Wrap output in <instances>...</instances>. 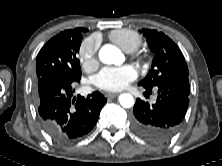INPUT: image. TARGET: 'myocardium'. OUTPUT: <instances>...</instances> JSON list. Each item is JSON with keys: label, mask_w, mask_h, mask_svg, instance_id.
<instances>
[{"label": "myocardium", "mask_w": 222, "mask_h": 166, "mask_svg": "<svg viewBox=\"0 0 222 166\" xmlns=\"http://www.w3.org/2000/svg\"><path fill=\"white\" fill-rule=\"evenodd\" d=\"M132 57H133V59H135V61L138 62V63H143V62H144L143 56H142L140 53H138V52H133V53H132Z\"/></svg>", "instance_id": "f54148a6"}]
</instances>
